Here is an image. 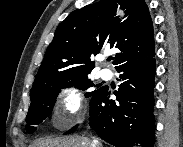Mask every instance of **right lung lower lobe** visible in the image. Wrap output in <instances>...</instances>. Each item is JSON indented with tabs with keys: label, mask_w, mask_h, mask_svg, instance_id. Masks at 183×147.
I'll list each match as a JSON object with an SVG mask.
<instances>
[{
	"label": "right lung lower lobe",
	"mask_w": 183,
	"mask_h": 147,
	"mask_svg": "<svg viewBox=\"0 0 183 147\" xmlns=\"http://www.w3.org/2000/svg\"><path fill=\"white\" fill-rule=\"evenodd\" d=\"M154 55L155 52L130 59L116 68L122 81L114 93L117 102L110 100L106 87L91 97L89 125L100 138L116 147L154 145Z\"/></svg>",
	"instance_id": "98d812e1"
}]
</instances>
